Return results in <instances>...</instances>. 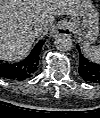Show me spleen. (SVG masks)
<instances>
[{"instance_id":"3e777b00","label":"spleen","mask_w":100,"mask_h":118,"mask_svg":"<svg viewBox=\"0 0 100 118\" xmlns=\"http://www.w3.org/2000/svg\"><path fill=\"white\" fill-rule=\"evenodd\" d=\"M83 51L91 61L96 62V63L100 61V47L99 46H90V44L85 43L83 45Z\"/></svg>"}]
</instances>
